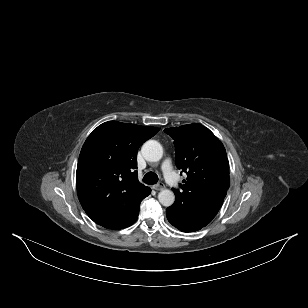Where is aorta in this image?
<instances>
[{
    "mask_svg": "<svg viewBox=\"0 0 308 308\" xmlns=\"http://www.w3.org/2000/svg\"><path fill=\"white\" fill-rule=\"evenodd\" d=\"M142 155L149 162H157L163 156L161 144L155 140H148L142 146ZM159 202L165 206H171L175 201V195L171 190L163 189L158 193Z\"/></svg>",
    "mask_w": 308,
    "mask_h": 308,
    "instance_id": "1",
    "label": "aorta"
}]
</instances>
